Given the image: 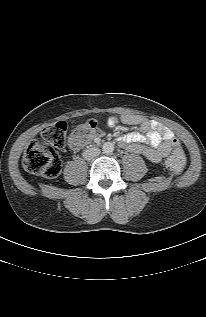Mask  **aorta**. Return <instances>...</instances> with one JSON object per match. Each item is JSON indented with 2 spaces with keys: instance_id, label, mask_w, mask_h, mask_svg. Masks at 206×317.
<instances>
[{
  "instance_id": "aorta-1",
  "label": "aorta",
  "mask_w": 206,
  "mask_h": 317,
  "mask_svg": "<svg viewBox=\"0 0 206 317\" xmlns=\"http://www.w3.org/2000/svg\"><path fill=\"white\" fill-rule=\"evenodd\" d=\"M102 150L105 154H111L114 151L113 143L105 142L102 146Z\"/></svg>"
}]
</instances>
